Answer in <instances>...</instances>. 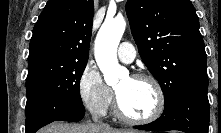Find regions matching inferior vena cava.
<instances>
[{"instance_id": "602c4592", "label": "inferior vena cava", "mask_w": 221, "mask_h": 133, "mask_svg": "<svg viewBox=\"0 0 221 133\" xmlns=\"http://www.w3.org/2000/svg\"><path fill=\"white\" fill-rule=\"evenodd\" d=\"M93 121H94L95 123H98V125H100V126H102V127H108V125L105 124V123H103L102 121H100V120H99V117H97V116H93Z\"/></svg>"}]
</instances>
